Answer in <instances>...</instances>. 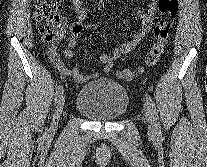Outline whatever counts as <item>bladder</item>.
<instances>
[{
	"instance_id": "bladder-1",
	"label": "bladder",
	"mask_w": 207,
	"mask_h": 167,
	"mask_svg": "<svg viewBox=\"0 0 207 167\" xmlns=\"http://www.w3.org/2000/svg\"><path fill=\"white\" fill-rule=\"evenodd\" d=\"M75 106L91 120L115 121L126 113L129 95L121 84L110 79H99L81 87Z\"/></svg>"
}]
</instances>
